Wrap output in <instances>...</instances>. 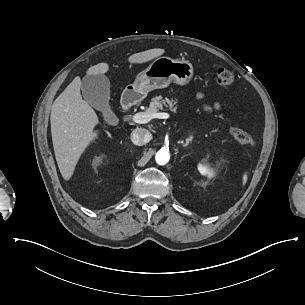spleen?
Listing matches in <instances>:
<instances>
[{
  "label": "spleen",
  "mask_w": 305,
  "mask_h": 305,
  "mask_svg": "<svg viewBox=\"0 0 305 305\" xmlns=\"http://www.w3.org/2000/svg\"><path fill=\"white\" fill-rule=\"evenodd\" d=\"M248 170L245 169L243 170L242 174H241V188H244L247 181H248Z\"/></svg>",
  "instance_id": "3e777b00"
}]
</instances>
